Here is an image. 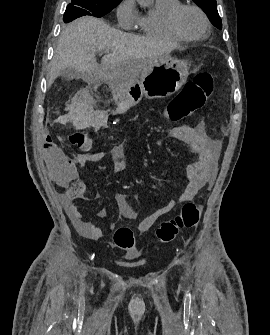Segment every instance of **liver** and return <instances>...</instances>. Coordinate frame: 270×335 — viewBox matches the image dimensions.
<instances>
[{
	"label": "liver",
	"instance_id": "6515ba94",
	"mask_svg": "<svg viewBox=\"0 0 270 335\" xmlns=\"http://www.w3.org/2000/svg\"><path fill=\"white\" fill-rule=\"evenodd\" d=\"M102 50L110 54L104 56L102 66H98L95 54ZM167 52H170L168 48L151 38L126 34L111 28L100 18L85 16L74 20L62 30L49 84H52L57 72L67 68L87 74H109V70H118L124 80H137L147 60Z\"/></svg>",
	"mask_w": 270,
	"mask_h": 335
}]
</instances>
